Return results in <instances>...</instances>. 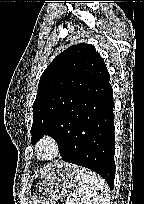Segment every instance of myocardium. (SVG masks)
<instances>
[{
    "label": "myocardium",
    "instance_id": "f54148a6",
    "mask_svg": "<svg viewBox=\"0 0 144 204\" xmlns=\"http://www.w3.org/2000/svg\"><path fill=\"white\" fill-rule=\"evenodd\" d=\"M49 147L50 154L48 156H41L40 151L43 147ZM63 151L61 141L54 135H44L35 144L34 153L38 161L51 162L57 159Z\"/></svg>",
    "mask_w": 144,
    "mask_h": 204
}]
</instances>
